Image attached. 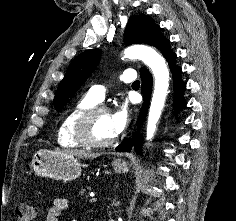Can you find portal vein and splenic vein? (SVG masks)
Here are the masks:
<instances>
[{
  "label": "portal vein and splenic vein",
  "mask_w": 236,
  "mask_h": 221,
  "mask_svg": "<svg viewBox=\"0 0 236 221\" xmlns=\"http://www.w3.org/2000/svg\"><path fill=\"white\" fill-rule=\"evenodd\" d=\"M90 201H91V202H96V201H97V198L92 197V198L90 199Z\"/></svg>",
  "instance_id": "portal-vein-and-splenic-vein-1"
}]
</instances>
